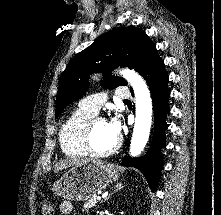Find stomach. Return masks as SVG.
Segmentation results:
<instances>
[{
	"instance_id": "0dacf381",
	"label": "stomach",
	"mask_w": 221,
	"mask_h": 215,
	"mask_svg": "<svg viewBox=\"0 0 221 215\" xmlns=\"http://www.w3.org/2000/svg\"><path fill=\"white\" fill-rule=\"evenodd\" d=\"M118 178L119 170L115 165L91 159L65 172L54 182L52 191L67 200L85 201Z\"/></svg>"
}]
</instances>
